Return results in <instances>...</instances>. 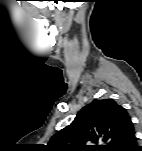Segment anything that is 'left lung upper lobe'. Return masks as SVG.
<instances>
[{
    "label": "left lung upper lobe",
    "mask_w": 142,
    "mask_h": 151,
    "mask_svg": "<svg viewBox=\"0 0 142 151\" xmlns=\"http://www.w3.org/2000/svg\"><path fill=\"white\" fill-rule=\"evenodd\" d=\"M134 131L131 118L112 99L94 100L83 107L74 121L49 141L53 151H117ZM98 141L105 145H89Z\"/></svg>",
    "instance_id": "left-lung-upper-lobe-1"
}]
</instances>
